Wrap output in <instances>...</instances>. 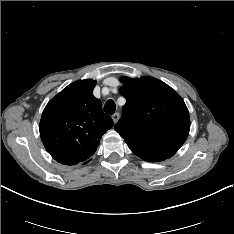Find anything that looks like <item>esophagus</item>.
Returning a JSON list of instances; mask_svg holds the SVG:
<instances>
[{
    "instance_id": "1",
    "label": "esophagus",
    "mask_w": 234,
    "mask_h": 234,
    "mask_svg": "<svg viewBox=\"0 0 234 234\" xmlns=\"http://www.w3.org/2000/svg\"><path fill=\"white\" fill-rule=\"evenodd\" d=\"M118 119H119V113H115L112 115V120L114 123H116L118 121Z\"/></svg>"
}]
</instances>
